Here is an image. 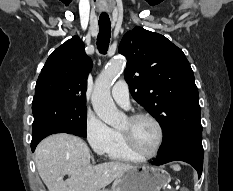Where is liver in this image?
Returning <instances> with one entry per match:
<instances>
[{
  "mask_svg": "<svg viewBox=\"0 0 233 191\" xmlns=\"http://www.w3.org/2000/svg\"><path fill=\"white\" fill-rule=\"evenodd\" d=\"M90 150L79 137L59 133L35 150L37 171L49 191H100L132 166L123 162L90 163ZM70 177L64 181V176Z\"/></svg>",
  "mask_w": 233,
  "mask_h": 191,
  "instance_id": "liver-1",
  "label": "liver"
}]
</instances>
